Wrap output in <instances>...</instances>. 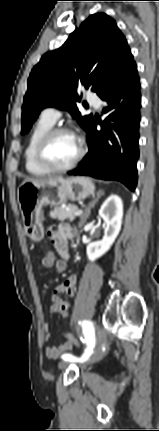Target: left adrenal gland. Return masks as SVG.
<instances>
[{"label": "left adrenal gland", "mask_w": 159, "mask_h": 431, "mask_svg": "<svg viewBox=\"0 0 159 431\" xmlns=\"http://www.w3.org/2000/svg\"><path fill=\"white\" fill-rule=\"evenodd\" d=\"M103 194L104 192L102 190H99L97 193V197L92 202H90L89 205L86 207L84 214L81 216L80 226L86 222L87 218L90 215L91 208L94 207V205L98 202V200Z\"/></svg>", "instance_id": "obj_1"}]
</instances>
